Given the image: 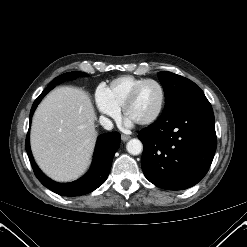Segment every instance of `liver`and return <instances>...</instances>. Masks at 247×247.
Returning a JSON list of instances; mask_svg holds the SVG:
<instances>
[{"mask_svg":"<svg viewBox=\"0 0 247 247\" xmlns=\"http://www.w3.org/2000/svg\"><path fill=\"white\" fill-rule=\"evenodd\" d=\"M96 115L89 95L60 87L38 106L31 127V149L39 167L52 179L67 182L87 169L96 140Z\"/></svg>","mask_w":247,"mask_h":247,"instance_id":"6515ba94","label":"liver"}]
</instances>
